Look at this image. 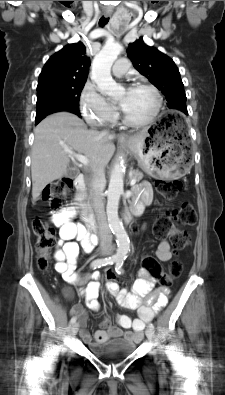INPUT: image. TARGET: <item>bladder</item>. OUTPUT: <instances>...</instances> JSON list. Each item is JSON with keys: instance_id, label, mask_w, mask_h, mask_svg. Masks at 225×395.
I'll use <instances>...</instances> for the list:
<instances>
[{"instance_id": "31cf9c89", "label": "bladder", "mask_w": 225, "mask_h": 395, "mask_svg": "<svg viewBox=\"0 0 225 395\" xmlns=\"http://www.w3.org/2000/svg\"><path fill=\"white\" fill-rule=\"evenodd\" d=\"M136 343L125 338H115L104 344H93L92 353L102 360H113L128 356L136 350Z\"/></svg>"}]
</instances>
